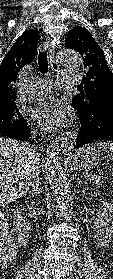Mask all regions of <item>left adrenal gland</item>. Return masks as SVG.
I'll list each match as a JSON object with an SVG mask.
<instances>
[{
    "instance_id": "1",
    "label": "left adrenal gland",
    "mask_w": 113,
    "mask_h": 279,
    "mask_svg": "<svg viewBox=\"0 0 113 279\" xmlns=\"http://www.w3.org/2000/svg\"><path fill=\"white\" fill-rule=\"evenodd\" d=\"M76 181H77L78 187L83 185V181L78 176H76ZM85 184H87V183L85 182Z\"/></svg>"
}]
</instances>
